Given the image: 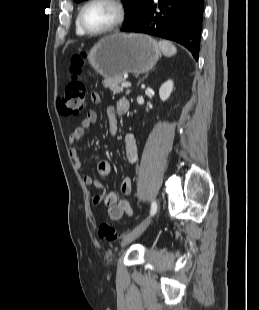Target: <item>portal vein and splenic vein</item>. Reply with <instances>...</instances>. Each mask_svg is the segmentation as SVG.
Segmentation results:
<instances>
[{
    "instance_id": "obj_1",
    "label": "portal vein and splenic vein",
    "mask_w": 259,
    "mask_h": 310,
    "mask_svg": "<svg viewBox=\"0 0 259 310\" xmlns=\"http://www.w3.org/2000/svg\"><path fill=\"white\" fill-rule=\"evenodd\" d=\"M121 87L122 88L131 87V83L130 82H122Z\"/></svg>"
}]
</instances>
